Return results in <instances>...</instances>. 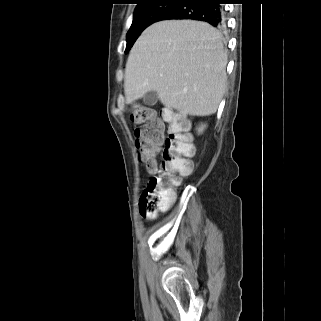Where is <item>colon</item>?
Returning a JSON list of instances; mask_svg holds the SVG:
<instances>
[{
	"label": "colon",
	"mask_w": 321,
	"mask_h": 321,
	"mask_svg": "<svg viewBox=\"0 0 321 321\" xmlns=\"http://www.w3.org/2000/svg\"><path fill=\"white\" fill-rule=\"evenodd\" d=\"M131 119L140 126L135 129V143L141 162L151 174L146 190L140 198L143 216H154L166 210L174 200L173 188L182 176L193 170L191 157L195 149L187 133L188 125L180 113L167 111L163 119L145 106L137 105L131 110ZM167 128V137L164 130ZM164 146L161 159L157 155Z\"/></svg>",
	"instance_id": "obj_1"
}]
</instances>
